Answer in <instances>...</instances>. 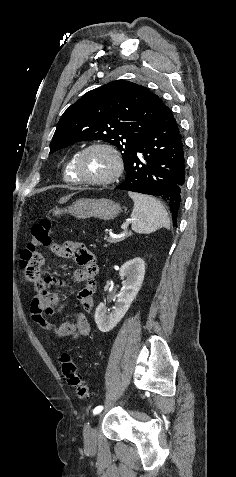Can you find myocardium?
Listing matches in <instances>:
<instances>
[{"label":"myocardium","instance_id":"f54148a6","mask_svg":"<svg viewBox=\"0 0 236 477\" xmlns=\"http://www.w3.org/2000/svg\"><path fill=\"white\" fill-rule=\"evenodd\" d=\"M92 149H101L105 151L113 161V171L106 177L101 179H88L82 176L80 171V163L83 156ZM74 173L78 179L79 184H87L92 186H105L115 182L123 171V160L120 153L111 145L104 142H94L84 147L76 156L74 165Z\"/></svg>","mask_w":236,"mask_h":477}]
</instances>
